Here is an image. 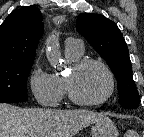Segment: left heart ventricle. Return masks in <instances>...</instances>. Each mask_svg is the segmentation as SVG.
<instances>
[{"instance_id":"obj_1","label":"left heart ventricle","mask_w":144,"mask_h":137,"mask_svg":"<svg viewBox=\"0 0 144 137\" xmlns=\"http://www.w3.org/2000/svg\"><path fill=\"white\" fill-rule=\"evenodd\" d=\"M71 82L76 96L85 101L101 99L109 88L107 75L97 65H88L71 74Z\"/></svg>"}]
</instances>
